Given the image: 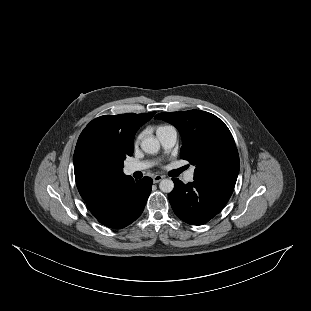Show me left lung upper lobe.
I'll return each instance as SVG.
<instances>
[{"mask_svg":"<svg viewBox=\"0 0 311 311\" xmlns=\"http://www.w3.org/2000/svg\"><path fill=\"white\" fill-rule=\"evenodd\" d=\"M173 124L182 137L180 158L195 165V179L237 180L239 155L233 136L215 115L189 110L155 116Z\"/></svg>","mask_w":311,"mask_h":311,"instance_id":"5c2ea615","label":"left lung upper lobe"}]
</instances>
